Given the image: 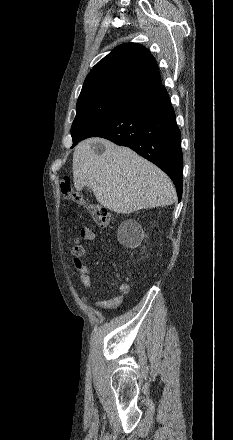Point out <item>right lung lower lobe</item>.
I'll return each instance as SVG.
<instances>
[{"label":"right lung lower lobe","instance_id":"98d812e1","mask_svg":"<svg viewBox=\"0 0 233 440\" xmlns=\"http://www.w3.org/2000/svg\"><path fill=\"white\" fill-rule=\"evenodd\" d=\"M89 137H102L129 147L156 164L173 180L181 200V133L163 85L128 101L118 113L85 138Z\"/></svg>","mask_w":233,"mask_h":440}]
</instances>
